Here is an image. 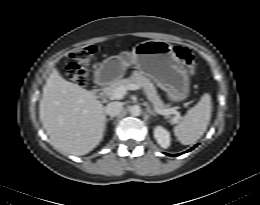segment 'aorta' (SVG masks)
I'll return each instance as SVG.
<instances>
[{
  "mask_svg": "<svg viewBox=\"0 0 260 205\" xmlns=\"http://www.w3.org/2000/svg\"><path fill=\"white\" fill-rule=\"evenodd\" d=\"M129 111L133 116H139L141 114V108L138 105L131 106Z\"/></svg>",
  "mask_w": 260,
  "mask_h": 205,
  "instance_id": "762f6f07",
  "label": "aorta"
}]
</instances>
